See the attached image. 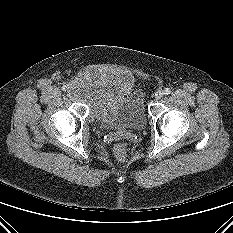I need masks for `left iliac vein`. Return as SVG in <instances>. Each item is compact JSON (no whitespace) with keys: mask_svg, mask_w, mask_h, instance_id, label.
Masks as SVG:
<instances>
[{"mask_svg":"<svg viewBox=\"0 0 233 233\" xmlns=\"http://www.w3.org/2000/svg\"><path fill=\"white\" fill-rule=\"evenodd\" d=\"M163 91L162 90H158L155 92V98L156 99H161L163 97Z\"/></svg>","mask_w":233,"mask_h":233,"instance_id":"obj_1","label":"left iliac vein"}]
</instances>
